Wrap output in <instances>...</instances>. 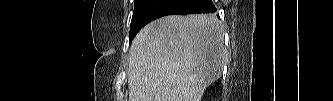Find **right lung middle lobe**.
<instances>
[{"mask_svg":"<svg viewBox=\"0 0 333 101\" xmlns=\"http://www.w3.org/2000/svg\"><path fill=\"white\" fill-rule=\"evenodd\" d=\"M135 8H134V12L133 15L135 14V12L138 10V8L140 7V5L144 2V0H135ZM129 44H131V27H130V39H129Z\"/></svg>","mask_w":333,"mask_h":101,"instance_id":"1","label":"right lung middle lobe"}]
</instances>
